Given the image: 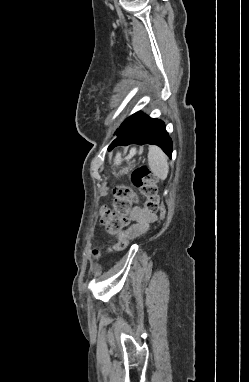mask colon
<instances>
[{"instance_id":"obj_1","label":"colon","mask_w":249,"mask_h":382,"mask_svg":"<svg viewBox=\"0 0 249 382\" xmlns=\"http://www.w3.org/2000/svg\"><path fill=\"white\" fill-rule=\"evenodd\" d=\"M132 184L137 187L141 194L144 196L145 210L154 215L162 212V205L160 203L158 189L155 182L154 175L147 166H140L136 168L131 174ZM113 203L112 209H104L101 214V219L107 223L108 228L113 232H118L129 225L127 214L135 202L136 198L132 189L127 185H119L113 189ZM130 237L127 234H121L115 244L110 247L107 252L116 253L123 251L128 243ZM100 255L98 250L93 251V256Z\"/></svg>"}]
</instances>
